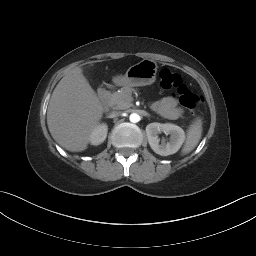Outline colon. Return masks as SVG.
Instances as JSON below:
<instances>
[{
	"label": "colon",
	"instance_id": "obj_1",
	"mask_svg": "<svg viewBox=\"0 0 256 256\" xmlns=\"http://www.w3.org/2000/svg\"><path fill=\"white\" fill-rule=\"evenodd\" d=\"M159 84L164 90H173L178 96L179 103L189 110H195L202 104V97L191 92L182 82L180 75L168 68L160 70Z\"/></svg>",
	"mask_w": 256,
	"mask_h": 256
}]
</instances>
